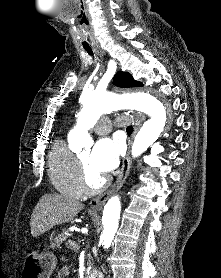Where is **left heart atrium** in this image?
<instances>
[{"instance_id":"39dd6f15","label":"left heart atrium","mask_w":221,"mask_h":278,"mask_svg":"<svg viewBox=\"0 0 221 278\" xmlns=\"http://www.w3.org/2000/svg\"><path fill=\"white\" fill-rule=\"evenodd\" d=\"M121 144L111 138L99 140L90 155L91 167L99 174L112 172L119 163Z\"/></svg>"}]
</instances>
